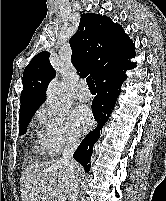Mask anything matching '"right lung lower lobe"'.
Instances as JSON below:
<instances>
[{"instance_id":"right-lung-lower-lobe-1","label":"right lung lower lobe","mask_w":166,"mask_h":201,"mask_svg":"<svg viewBox=\"0 0 166 201\" xmlns=\"http://www.w3.org/2000/svg\"><path fill=\"white\" fill-rule=\"evenodd\" d=\"M134 67L135 63H129L125 66L109 69L95 83L97 96L92 103V109L97 127L84 138L73 155V158L84 167L86 172L90 170L89 161L93 145L98 140L103 125L109 119L120 93L121 84L126 79L125 71Z\"/></svg>"}]
</instances>
